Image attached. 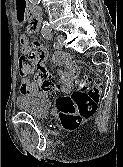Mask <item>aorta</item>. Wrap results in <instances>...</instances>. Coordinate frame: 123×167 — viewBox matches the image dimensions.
<instances>
[{"mask_svg":"<svg viewBox=\"0 0 123 167\" xmlns=\"http://www.w3.org/2000/svg\"><path fill=\"white\" fill-rule=\"evenodd\" d=\"M34 2H39L40 0H33ZM42 33L49 34L51 32V28L47 22H43L42 24Z\"/></svg>","mask_w":123,"mask_h":167,"instance_id":"aorta-1","label":"aorta"}]
</instances>
